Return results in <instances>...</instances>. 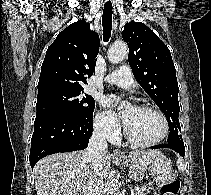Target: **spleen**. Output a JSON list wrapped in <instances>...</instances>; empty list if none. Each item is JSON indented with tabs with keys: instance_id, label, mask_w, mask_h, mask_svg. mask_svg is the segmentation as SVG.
Returning <instances> with one entry per match:
<instances>
[{
	"instance_id": "obj_1",
	"label": "spleen",
	"mask_w": 211,
	"mask_h": 195,
	"mask_svg": "<svg viewBox=\"0 0 211 195\" xmlns=\"http://www.w3.org/2000/svg\"><path fill=\"white\" fill-rule=\"evenodd\" d=\"M177 167H178V170L180 172H183L185 170V164H184V162H183L182 159H178V161H177Z\"/></svg>"
}]
</instances>
